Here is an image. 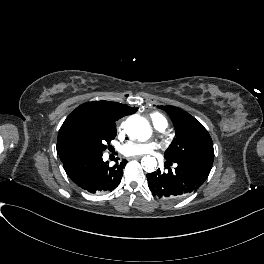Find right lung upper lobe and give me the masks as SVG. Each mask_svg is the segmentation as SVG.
Listing matches in <instances>:
<instances>
[{
    "mask_svg": "<svg viewBox=\"0 0 264 264\" xmlns=\"http://www.w3.org/2000/svg\"><path fill=\"white\" fill-rule=\"evenodd\" d=\"M117 102L101 106L75 109L61 126L57 139V153L70 179L80 184L111 167L102 159L116 136V121L136 112Z\"/></svg>",
    "mask_w": 264,
    "mask_h": 264,
    "instance_id": "obj_1",
    "label": "right lung upper lobe"
}]
</instances>
